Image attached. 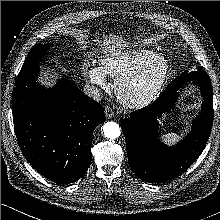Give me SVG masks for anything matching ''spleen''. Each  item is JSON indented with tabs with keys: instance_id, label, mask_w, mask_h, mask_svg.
Masks as SVG:
<instances>
[{
	"instance_id": "1",
	"label": "spleen",
	"mask_w": 220,
	"mask_h": 220,
	"mask_svg": "<svg viewBox=\"0 0 220 220\" xmlns=\"http://www.w3.org/2000/svg\"><path fill=\"white\" fill-rule=\"evenodd\" d=\"M180 137L175 133H168L162 136V141L168 145L175 144Z\"/></svg>"
}]
</instances>
